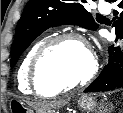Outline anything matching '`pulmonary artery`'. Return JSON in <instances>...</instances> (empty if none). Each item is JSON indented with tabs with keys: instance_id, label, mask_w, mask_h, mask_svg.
<instances>
[{
	"instance_id": "obj_1",
	"label": "pulmonary artery",
	"mask_w": 123,
	"mask_h": 113,
	"mask_svg": "<svg viewBox=\"0 0 123 113\" xmlns=\"http://www.w3.org/2000/svg\"><path fill=\"white\" fill-rule=\"evenodd\" d=\"M98 9L101 13H108L110 11V7L107 3H100Z\"/></svg>"
}]
</instances>
